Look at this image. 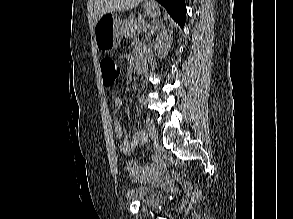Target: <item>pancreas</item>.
I'll return each instance as SVG.
<instances>
[{
    "label": "pancreas",
    "mask_w": 293,
    "mask_h": 219,
    "mask_svg": "<svg viewBox=\"0 0 293 219\" xmlns=\"http://www.w3.org/2000/svg\"><path fill=\"white\" fill-rule=\"evenodd\" d=\"M122 34L124 36H133L140 31L146 29V25L142 19H136L134 15H130L123 21Z\"/></svg>",
    "instance_id": "obj_1"
}]
</instances>
